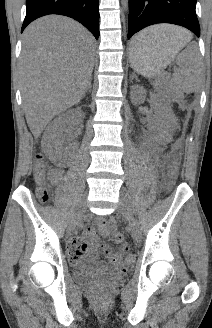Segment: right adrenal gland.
Returning <instances> with one entry per match:
<instances>
[{"mask_svg":"<svg viewBox=\"0 0 212 328\" xmlns=\"http://www.w3.org/2000/svg\"><path fill=\"white\" fill-rule=\"evenodd\" d=\"M87 92H91V80L89 81L86 90L84 91L83 97H85Z\"/></svg>","mask_w":212,"mask_h":328,"instance_id":"2a0ac1e0","label":"right adrenal gland"}]
</instances>
